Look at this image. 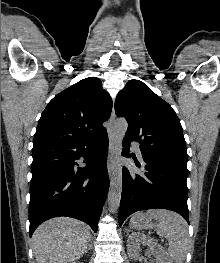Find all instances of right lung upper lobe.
Segmentation results:
<instances>
[{
  "label": "right lung upper lobe",
  "instance_id": "cb5924a9",
  "mask_svg": "<svg viewBox=\"0 0 220 263\" xmlns=\"http://www.w3.org/2000/svg\"><path fill=\"white\" fill-rule=\"evenodd\" d=\"M112 101L96 77L85 78L57 94L43 111L33 148L85 141L104 132Z\"/></svg>",
  "mask_w": 220,
  "mask_h": 263
}]
</instances>
